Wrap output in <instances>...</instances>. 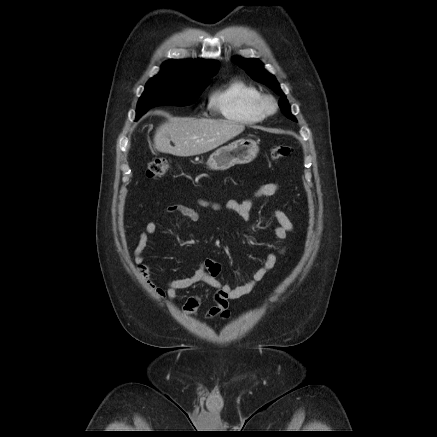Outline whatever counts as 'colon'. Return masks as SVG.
Listing matches in <instances>:
<instances>
[{
    "instance_id": "obj_1",
    "label": "colon",
    "mask_w": 437,
    "mask_h": 437,
    "mask_svg": "<svg viewBox=\"0 0 437 437\" xmlns=\"http://www.w3.org/2000/svg\"><path fill=\"white\" fill-rule=\"evenodd\" d=\"M293 148L288 145H277L271 149L273 159H281L292 155ZM170 169V160L165 157H157L150 161L147 167L149 177H160L165 175Z\"/></svg>"
}]
</instances>
